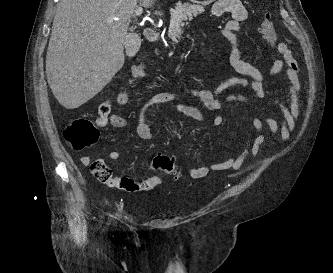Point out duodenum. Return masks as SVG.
Returning <instances> with one entry per match:
<instances>
[{"instance_id": "410a0bca", "label": "duodenum", "mask_w": 333, "mask_h": 273, "mask_svg": "<svg viewBox=\"0 0 333 273\" xmlns=\"http://www.w3.org/2000/svg\"><path fill=\"white\" fill-rule=\"evenodd\" d=\"M144 37L147 41L155 42L157 40V31L154 28H146Z\"/></svg>"}]
</instances>
